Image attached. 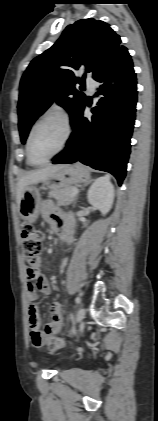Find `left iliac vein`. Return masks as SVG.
I'll list each match as a JSON object with an SVG mask.
<instances>
[{"label": "left iliac vein", "instance_id": "obj_1", "mask_svg": "<svg viewBox=\"0 0 158 421\" xmlns=\"http://www.w3.org/2000/svg\"><path fill=\"white\" fill-rule=\"evenodd\" d=\"M86 310L84 308H80L77 313L76 321L79 323L85 317Z\"/></svg>", "mask_w": 158, "mask_h": 421}]
</instances>
